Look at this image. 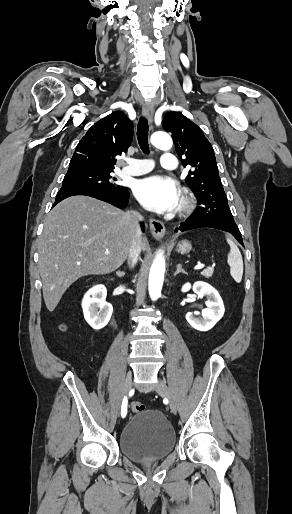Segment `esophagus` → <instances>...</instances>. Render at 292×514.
I'll list each match as a JSON object with an SVG mask.
<instances>
[{
  "label": "esophagus",
  "instance_id": "1",
  "mask_svg": "<svg viewBox=\"0 0 292 514\" xmlns=\"http://www.w3.org/2000/svg\"><path fill=\"white\" fill-rule=\"evenodd\" d=\"M154 110L155 109L152 102H145L143 104L142 113L148 122H150V124L153 122ZM149 227L150 232L155 239H162V237L165 235V226L160 220L150 219Z\"/></svg>",
  "mask_w": 292,
  "mask_h": 514
}]
</instances>
